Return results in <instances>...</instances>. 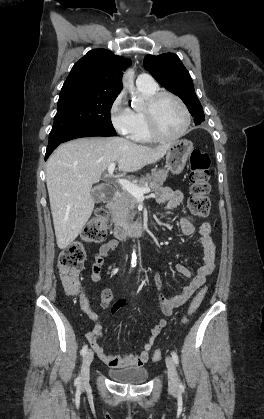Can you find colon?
I'll return each mask as SVG.
<instances>
[{"instance_id":"obj_1","label":"colon","mask_w":264,"mask_h":419,"mask_svg":"<svg viewBox=\"0 0 264 419\" xmlns=\"http://www.w3.org/2000/svg\"><path fill=\"white\" fill-rule=\"evenodd\" d=\"M209 156L201 150L195 149L189 158V180L190 193L188 206L190 211L197 216H205L210 209V201L208 193L210 191L209 184ZM110 227V221L105 211H97L85 225L81 238L83 242H100L106 236ZM86 259V252L82 242L75 241L64 248L58 257V267L60 279L63 288L67 294L77 295L81 292V283L79 273L83 268ZM205 288L200 290L192 300L188 316L184 319V323L188 321V317L192 315L200 306L205 296ZM162 358V352L156 350L153 353V361H159Z\"/></svg>"}]
</instances>
